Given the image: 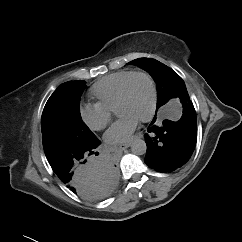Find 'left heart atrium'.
Instances as JSON below:
<instances>
[{
	"mask_svg": "<svg viewBox=\"0 0 242 242\" xmlns=\"http://www.w3.org/2000/svg\"><path fill=\"white\" fill-rule=\"evenodd\" d=\"M138 122L139 120L132 115L125 114L120 116L105 133L106 142L109 144L127 142L137 128Z\"/></svg>",
	"mask_w": 242,
	"mask_h": 242,
	"instance_id": "obj_1",
	"label": "left heart atrium"
}]
</instances>
